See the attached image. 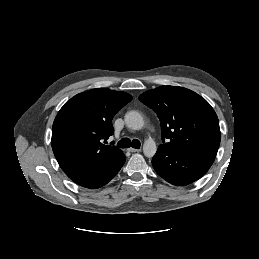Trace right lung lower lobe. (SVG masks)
Returning <instances> with one entry per match:
<instances>
[{
    "instance_id": "obj_1",
    "label": "right lung lower lobe",
    "mask_w": 259,
    "mask_h": 259,
    "mask_svg": "<svg viewBox=\"0 0 259 259\" xmlns=\"http://www.w3.org/2000/svg\"><path fill=\"white\" fill-rule=\"evenodd\" d=\"M126 157L121 152L99 166L82 172L67 173V176L80 186L96 189L107 184L121 169Z\"/></svg>"
}]
</instances>
